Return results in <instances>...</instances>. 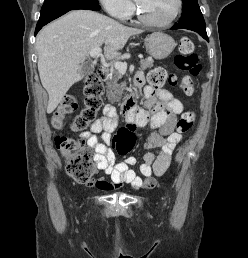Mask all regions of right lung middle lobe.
I'll return each mask as SVG.
<instances>
[{"mask_svg": "<svg viewBox=\"0 0 248 258\" xmlns=\"http://www.w3.org/2000/svg\"><path fill=\"white\" fill-rule=\"evenodd\" d=\"M83 2L99 4L98 0H45L40 15H44L53 10Z\"/></svg>", "mask_w": 248, "mask_h": 258, "instance_id": "obj_1", "label": "right lung middle lobe"}]
</instances>
